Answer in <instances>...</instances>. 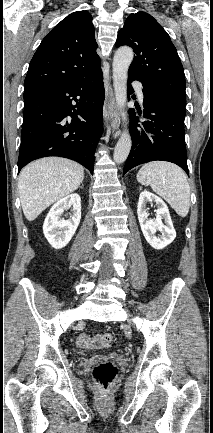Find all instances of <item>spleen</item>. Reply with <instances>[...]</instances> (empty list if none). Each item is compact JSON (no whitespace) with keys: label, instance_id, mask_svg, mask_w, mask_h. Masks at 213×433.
<instances>
[{"label":"spleen","instance_id":"3e777b00","mask_svg":"<svg viewBox=\"0 0 213 433\" xmlns=\"http://www.w3.org/2000/svg\"><path fill=\"white\" fill-rule=\"evenodd\" d=\"M137 181L150 186L179 216H187L190 208V188L181 168L162 161L150 162L141 167L137 173Z\"/></svg>","mask_w":213,"mask_h":433}]
</instances>
